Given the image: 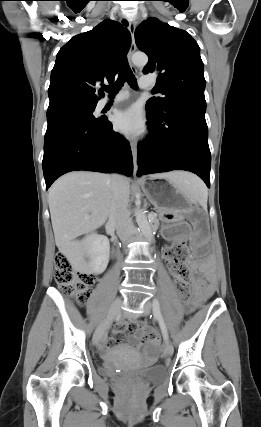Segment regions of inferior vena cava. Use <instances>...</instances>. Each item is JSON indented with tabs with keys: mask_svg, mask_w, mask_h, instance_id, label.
Masks as SVG:
<instances>
[{
	"mask_svg": "<svg viewBox=\"0 0 261 427\" xmlns=\"http://www.w3.org/2000/svg\"><path fill=\"white\" fill-rule=\"evenodd\" d=\"M111 187L109 223L115 226L121 241L126 242L135 234V228L128 211L129 186L124 176L114 174L111 179Z\"/></svg>",
	"mask_w": 261,
	"mask_h": 427,
	"instance_id": "obj_1",
	"label": "inferior vena cava"
}]
</instances>
